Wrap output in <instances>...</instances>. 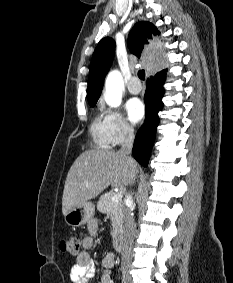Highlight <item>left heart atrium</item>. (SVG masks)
<instances>
[{
    "mask_svg": "<svg viewBox=\"0 0 233 283\" xmlns=\"http://www.w3.org/2000/svg\"><path fill=\"white\" fill-rule=\"evenodd\" d=\"M128 118L132 123H138L145 112L143 103L138 98H131L125 105Z\"/></svg>",
    "mask_w": 233,
    "mask_h": 283,
    "instance_id": "1",
    "label": "left heart atrium"
}]
</instances>
